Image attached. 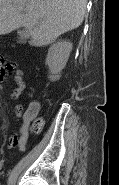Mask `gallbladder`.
I'll use <instances>...</instances> for the list:
<instances>
[{"mask_svg": "<svg viewBox=\"0 0 119 185\" xmlns=\"http://www.w3.org/2000/svg\"><path fill=\"white\" fill-rule=\"evenodd\" d=\"M19 42L25 43L27 39L29 38V33L26 30H19Z\"/></svg>", "mask_w": 119, "mask_h": 185, "instance_id": "1", "label": "gallbladder"}]
</instances>
